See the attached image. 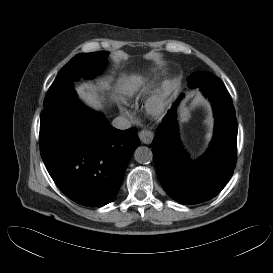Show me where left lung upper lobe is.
<instances>
[{"mask_svg": "<svg viewBox=\"0 0 273 273\" xmlns=\"http://www.w3.org/2000/svg\"><path fill=\"white\" fill-rule=\"evenodd\" d=\"M204 72H196L192 76L188 77V86L189 88H195L197 86V82L199 81V77H201V74Z\"/></svg>", "mask_w": 273, "mask_h": 273, "instance_id": "5c2ea615", "label": "left lung upper lobe"}]
</instances>
